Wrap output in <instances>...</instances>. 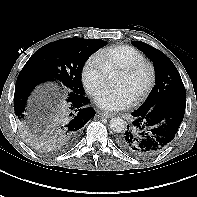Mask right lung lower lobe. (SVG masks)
<instances>
[{"label":"right lung lower lobe","instance_id":"1","mask_svg":"<svg viewBox=\"0 0 197 197\" xmlns=\"http://www.w3.org/2000/svg\"><path fill=\"white\" fill-rule=\"evenodd\" d=\"M53 81L46 76L21 71L15 85L14 108L21 123L27 120L44 128L46 141L70 147L77 140L81 128L95 116L92 107H87L89 99L84 94L70 92L67 99L59 104L47 117L30 118L26 114L27 99L32 90L39 84ZM27 133L30 129L23 126Z\"/></svg>","mask_w":197,"mask_h":197}]
</instances>
